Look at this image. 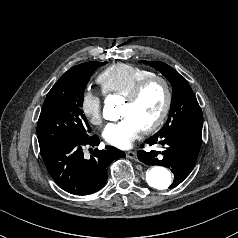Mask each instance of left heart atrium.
<instances>
[{"mask_svg": "<svg viewBox=\"0 0 238 238\" xmlns=\"http://www.w3.org/2000/svg\"><path fill=\"white\" fill-rule=\"evenodd\" d=\"M141 131L138 123L129 116L108 124L103 131L105 141L113 146L126 149L131 146Z\"/></svg>", "mask_w": 238, "mask_h": 238, "instance_id": "obj_1", "label": "left heart atrium"}]
</instances>
